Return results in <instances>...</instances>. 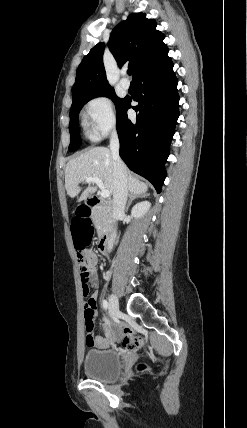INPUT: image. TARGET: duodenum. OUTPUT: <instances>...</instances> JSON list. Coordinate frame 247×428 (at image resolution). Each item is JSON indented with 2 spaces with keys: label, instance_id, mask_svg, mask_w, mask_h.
<instances>
[{
  "label": "duodenum",
  "instance_id": "1",
  "mask_svg": "<svg viewBox=\"0 0 247 428\" xmlns=\"http://www.w3.org/2000/svg\"><path fill=\"white\" fill-rule=\"evenodd\" d=\"M87 203L89 207H92V208L97 207L98 205H101V204H105L107 206L109 205V203L104 202L97 196H89L87 199ZM117 241H118V236L112 233L103 234L99 240L98 248L100 252L106 253L116 245Z\"/></svg>",
  "mask_w": 247,
  "mask_h": 428
}]
</instances>
